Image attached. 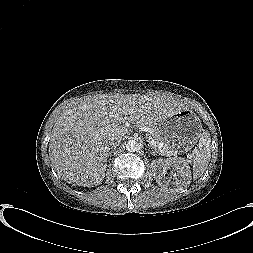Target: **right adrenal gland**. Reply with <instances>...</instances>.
Listing matches in <instances>:
<instances>
[{
	"label": "right adrenal gland",
	"mask_w": 253,
	"mask_h": 253,
	"mask_svg": "<svg viewBox=\"0 0 253 253\" xmlns=\"http://www.w3.org/2000/svg\"><path fill=\"white\" fill-rule=\"evenodd\" d=\"M115 147H116V146H114V147L111 146V147H110V150L113 149V148H115ZM110 153H111V152H110Z\"/></svg>",
	"instance_id": "obj_1"
}]
</instances>
